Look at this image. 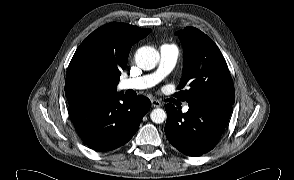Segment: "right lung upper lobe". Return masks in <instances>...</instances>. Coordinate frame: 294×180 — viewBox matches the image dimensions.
<instances>
[{
  "label": "right lung upper lobe",
  "mask_w": 294,
  "mask_h": 180,
  "mask_svg": "<svg viewBox=\"0 0 294 180\" xmlns=\"http://www.w3.org/2000/svg\"><path fill=\"white\" fill-rule=\"evenodd\" d=\"M151 30L112 22L92 32L73 55L65 80V95L69 106L78 102L114 94L121 70L125 69L131 46ZM84 69H93L101 76L97 92L85 95L77 89V79Z\"/></svg>",
  "instance_id": "obj_1"
}]
</instances>
